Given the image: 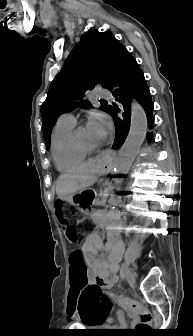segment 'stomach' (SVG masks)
Instances as JSON below:
<instances>
[{"label":"stomach","instance_id":"obj_1","mask_svg":"<svg viewBox=\"0 0 193 336\" xmlns=\"http://www.w3.org/2000/svg\"><path fill=\"white\" fill-rule=\"evenodd\" d=\"M112 156H103L99 160V166L103 173H107L110 170L112 163ZM94 199V194L90 190L84 189L74 193L71 196V203L80 207L83 213H88V206L91 205Z\"/></svg>","mask_w":193,"mask_h":336}]
</instances>
